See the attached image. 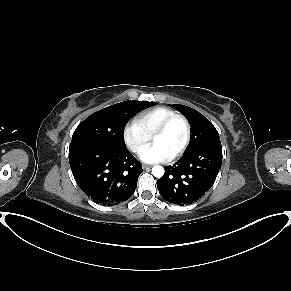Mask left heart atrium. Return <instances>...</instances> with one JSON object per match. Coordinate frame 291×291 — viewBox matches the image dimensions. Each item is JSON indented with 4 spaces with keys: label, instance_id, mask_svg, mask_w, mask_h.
<instances>
[{
    "label": "left heart atrium",
    "instance_id": "1",
    "mask_svg": "<svg viewBox=\"0 0 291 291\" xmlns=\"http://www.w3.org/2000/svg\"><path fill=\"white\" fill-rule=\"evenodd\" d=\"M139 158L147 163H157L170 160L172 155L161 145L153 143L140 149Z\"/></svg>",
    "mask_w": 291,
    "mask_h": 291
}]
</instances>
